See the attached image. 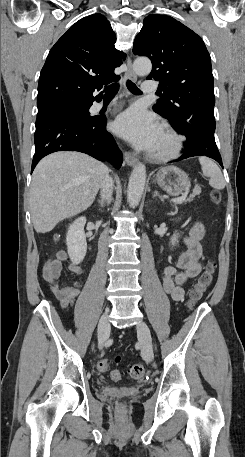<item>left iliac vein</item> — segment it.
I'll return each instance as SVG.
<instances>
[{
	"label": "left iliac vein",
	"mask_w": 245,
	"mask_h": 457,
	"mask_svg": "<svg viewBox=\"0 0 245 457\" xmlns=\"http://www.w3.org/2000/svg\"><path fill=\"white\" fill-rule=\"evenodd\" d=\"M137 330L139 332V342L142 346V354L146 362H151L153 360V345L151 341L150 330L147 324L143 321L137 324Z\"/></svg>",
	"instance_id": "left-iliac-vein-1"
}]
</instances>
